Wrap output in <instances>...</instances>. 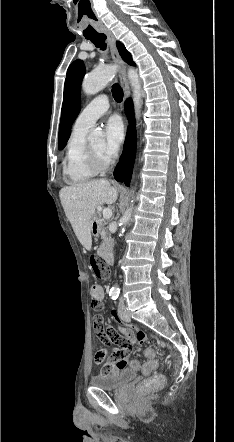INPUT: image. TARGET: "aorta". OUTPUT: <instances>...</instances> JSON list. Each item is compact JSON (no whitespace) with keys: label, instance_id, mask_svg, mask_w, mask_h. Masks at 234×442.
Returning <instances> with one entry per match:
<instances>
[{"label":"aorta","instance_id":"1","mask_svg":"<svg viewBox=\"0 0 234 442\" xmlns=\"http://www.w3.org/2000/svg\"><path fill=\"white\" fill-rule=\"evenodd\" d=\"M117 66L116 65H109L105 66L103 68H98L93 70L91 73L85 75L83 82H82V89L85 94L87 95H93L101 91L103 88L106 87V85L113 79L117 72ZM128 79L130 81V84L133 89V101L135 105V113L137 119L140 115V109H141V82L139 79V76L137 72L134 69L128 70ZM102 137V133L100 131H94L90 134L89 139L91 141L95 140L96 138ZM133 206H129L125 213L123 214L121 218V223L123 224V227L121 228L120 236L125 231V226L128 224L131 214H132ZM112 292L117 293L119 291L117 286L112 287Z\"/></svg>","mask_w":234,"mask_h":442}]
</instances>
